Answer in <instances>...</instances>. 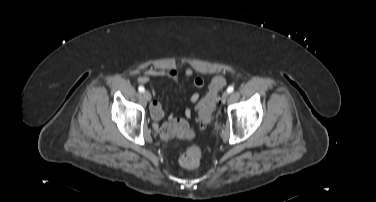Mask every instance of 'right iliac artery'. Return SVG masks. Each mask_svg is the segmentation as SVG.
<instances>
[{"label":"right iliac artery","instance_id":"right-iliac-artery-1","mask_svg":"<svg viewBox=\"0 0 376 202\" xmlns=\"http://www.w3.org/2000/svg\"><path fill=\"white\" fill-rule=\"evenodd\" d=\"M138 90H139V92H141V93L145 91V89H144L143 86H139V87H138Z\"/></svg>","mask_w":376,"mask_h":202}]
</instances>
